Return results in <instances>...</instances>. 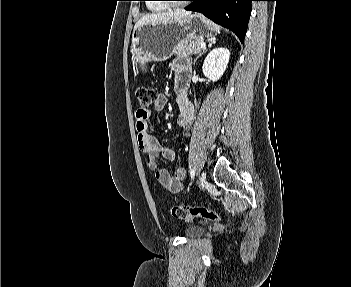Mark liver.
I'll return each mask as SVG.
<instances>
[{"label": "liver", "mask_w": 351, "mask_h": 287, "mask_svg": "<svg viewBox=\"0 0 351 287\" xmlns=\"http://www.w3.org/2000/svg\"><path fill=\"white\" fill-rule=\"evenodd\" d=\"M191 15L190 11H185L183 9H177L175 11L152 13L142 16L134 26V30L141 25L146 24H158V23H171L182 20L185 17Z\"/></svg>", "instance_id": "1"}]
</instances>
